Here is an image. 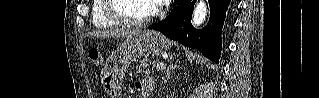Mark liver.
Wrapping results in <instances>:
<instances>
[{"mask_svg":"<svg viewBox=\"0 0 319 98\" xmlns=\"http://www.w3.org/2000/svg\"><path fill=\"white\" fill-rule=\"evenodd\" d=\"M141 31L128 30V29H115V30H105L93 32L90 35L93 37L100 38H119V37H128L130 35L139 33Z\"/></svg>","mask_w":319,"mask_h":98,"instance_id":"6515ba94","label":"liver"}]
</instances>
